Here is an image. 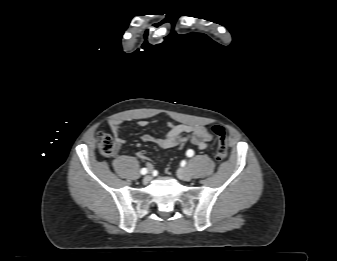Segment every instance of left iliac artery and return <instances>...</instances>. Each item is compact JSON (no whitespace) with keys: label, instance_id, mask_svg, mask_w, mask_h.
<instances>
[{"label":"left iliac artery","instance_id":"44dca946","mask_svg":"<svg viewBox=\"0 0 337 261\" xmlns=\"http://www.w3.org/2000/svg\"><path fill=\"white\" fill-rule=\"evenodd\" d=\"M186 155H187L188 157H192V156L194 155V151L191 150V149H189V150L186 152Z\"/></svg>","mask_w":337,"mask_h":261}]
</instances>
